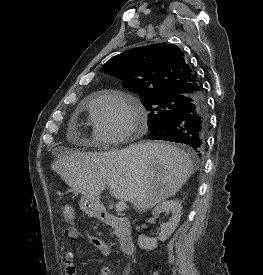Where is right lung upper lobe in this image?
I'll return each instance as SVG.
<instances>
[{
  "label": "right lung upper lobe",
  "mask_w": 263,
  "mask_h": 275,
  "mask_svg": "<svg viewBox=\"0 0 263 275\" xmlns=\"http://www.w3.org/2000/svg\"><path fill=\"white\" fill-rule=\"evenodd\" d=\"M101 71L120 78L140 96H185L202 92L183 52L174 44L134 48L111 58Z\"/></svg>",
  "instance_id": "cb5924a9"
}]
</instances>
